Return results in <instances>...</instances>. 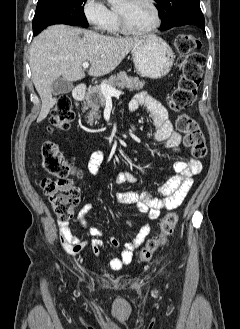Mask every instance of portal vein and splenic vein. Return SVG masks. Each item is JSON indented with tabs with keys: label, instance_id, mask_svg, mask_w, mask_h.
<instances>
[{
	"label": "portal vein and splenic vein",
	"instance_id": "obj_1",
	"mask_svg": "<svg viewBox=\"0 0 240 329\" xmlns=\"http://www.w3.org/2000/svg\"><path fill=\"white\" fill-rule=\"evenodd\" d=\"M82 66H83V68H88L89 62H84L82 64ZM99 87H100L103 95H106V96H117V95L121 94V91L116 90L115 88L111 87L110 85H108L106 83H101Z\"/></svg>",
	"mask_w": 240,
	"mask_h": 329
}]
</instances>
